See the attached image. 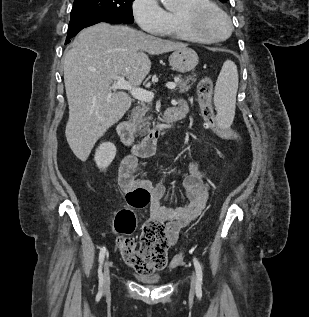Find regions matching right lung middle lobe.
Wrapping results in <instances>:
<instances>
[{
  "mask_svg": "<svg viewBox=\"0 0 309 317\" xmlns=\"http://www.w3.org/2000/svg\"><path fill=\"white\" fill-rule=\"evenodd\" d=\"M134 0H74L71 19L86 16L109 17L121 23H133Z\"/></svg>",
  "mask_w": 309,
  "mask_h": 317,
  "instance_id": "1",
  "label": "right lung middle lobe"
}]
</instances>
